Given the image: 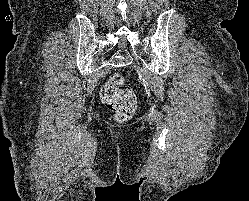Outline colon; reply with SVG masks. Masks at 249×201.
<instances>
[{"instance_id":"obj_1","label":"colon","mask_w":249,"mask_h":201,"mask_svg":"<svg viewBox=\"0 0 249 201\" xmlns=\"http://www.w3.org/2000/svg\"><path fill=\"white\" fill-rule=\"evenodd\" d=\"M123 78L113 74L100 91L101 101L113 113L117 122L129 120L136 110V97L133 91L124 89Z\"/></svg>"}]
</instances>
